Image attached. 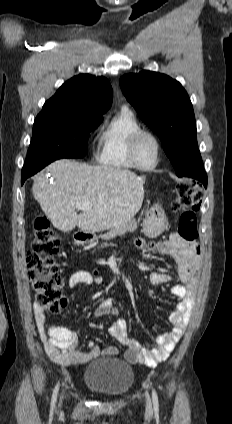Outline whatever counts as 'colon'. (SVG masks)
Listing matches in <instances>:
<instances>
[{"label": "colon", "instance_id": "obj_1", "mask_svg": "<svg viewBox=\"0 0 232 424\" xmlns=\"http://www.w3.org/2000/svg\"><path fill=\"white\" fill-rule=\"evenodd\" d=\"M172 203L182 211L177 233L185 243H194L198 237L197 212L203 201V189L192 181L178 184ZM35 237L26 255L27 276L35 292V306L43 311L58 313L62 308L61 283L56 257L61 251V240L42 215L34 220Z\"/></svg>", "mask_w": 232, "mask_h": 424}]
</instances>
